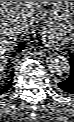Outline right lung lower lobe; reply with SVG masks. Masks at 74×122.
Segmentation results:
<instances>
[{
    "mask_svg": "<svg viewBox=\"0 0 74 122\" xmlns=\"http://www.w3.org/2000/svg\"><path fill=\"white\" fill-rule=\"evenodd\" d=\"M25 48V43H21L19 46H18V49H17V52H20L21 50H23ZM12 80L11 81H8L6 84H0V95L6 91H8L11 86H12Z\"/></svg>",
    "mask_w": 74,
    "mask_h": 122,
    "instance_id": "98d812e1",
    "label": "right lung lower lobe"
}]
</instances>
